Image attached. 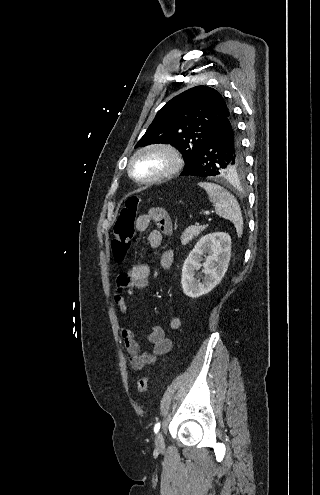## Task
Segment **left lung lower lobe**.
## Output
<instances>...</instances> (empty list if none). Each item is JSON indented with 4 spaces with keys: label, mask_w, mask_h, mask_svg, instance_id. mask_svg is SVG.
<instances>
[{
    "label": "left lung lower lobe",
    "mask_w": 320,
    "mask_h": 495,
    "mask_svg": "<svg viewBox=\"0 0 320 495\" xmlns=\"http://www.w3.org/2000/svg\"><path fill=\"white\" fill-rule=\"evenodd\" d=\"M241 143L232 115L221 123L210 140L201 147L193 162L181 175L218 176L221 169L233 165L241 155Z\"/></svg>",
    "instance_id": "0a47b994"
}]
</instances>
